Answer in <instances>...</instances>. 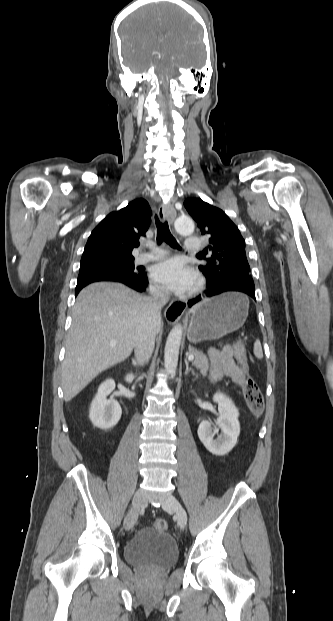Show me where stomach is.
<instances>
[{
  "mask_svg": "<svg viewBox=\"0 0 333 621\" xmlns=\"http://www.w3.org/2000/svg\"><path fill=\"white\" fill-rule=\"evenodd\" d=\"M244 295L227 292L199 303L192 312L187 338L192 343L217 340L238 330L246 321Z\"/></svg>",
  "mask_w": 333,
  "mask_h": 621,
  "instance_id": "obj_1",
  "label": "stomach"
}]
</instances>
